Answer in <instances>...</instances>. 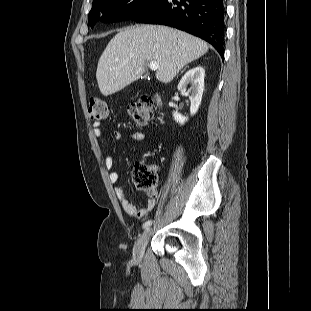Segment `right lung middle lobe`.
Instances as JSON below:
<instances>
[{
	"instance_id": "dd1d6c3e",
	"label": "right lung middle lobe",
	"mask_w": 311,
	"mask_h": 311,
	"mask_svg": "<svg viewBox=\"0 0 311 311\" xmlns=\"http://www.w3.org/2000/svg\"><path fill=\"white\" fill-rule=\"evenodd\" d=\"M157 0H96L89 12L88 23L91 27L101 20L116 22L132 18Z\"/></svg>"
}]
</instances>
